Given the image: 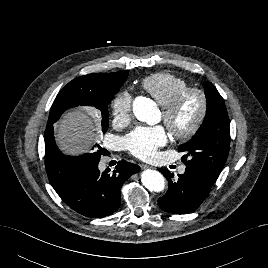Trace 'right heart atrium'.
<instances>
[{
  "label": "right heart atrium",
  "instance_id": "1",
  "mask_svg": "<svg viewBox=\"0 0 268 268\" xmlns=\"http://www.w3.org/2000/svg\"><path fill=\"white\" fill-rule=\"evenodd\" d=\"M132 95L128 90H122L114 98L111 108L115 121L128 123L132 118Z\"/></svg>",
  "mask_w": 268,
  "mask_h": 268
}]
</instances>
